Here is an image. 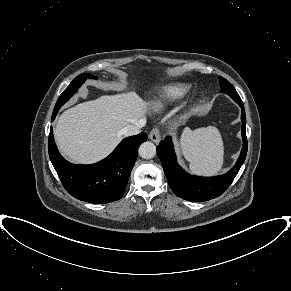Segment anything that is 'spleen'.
Returning <instances> with one entry per match:
<instances>
[{
  "label": "spleen",
  "instance_id": "3e777b00",
  "mask_svg": "<svg viewBox=\"0 0 291 291\" xmlns=\"http://www.w3.org/2000/svg\"><path fill=\"white\" fill-rule=\"evenodd\" d=\"M183 155L190 162V169L197 174L218 173L224 161V146L216 127L190 130L186 128L181 137Z\"/></svg>",
  "mask_w": 291,
  "mask_h": 291
}]
</instances>
